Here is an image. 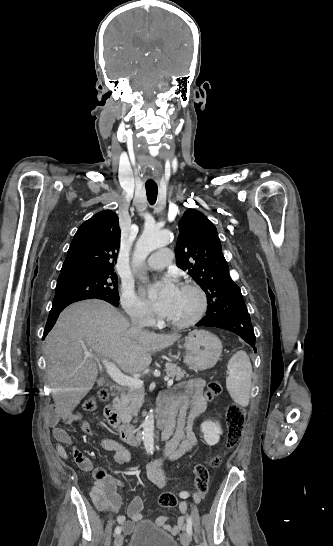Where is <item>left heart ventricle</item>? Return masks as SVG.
Masks as SVG:
<instances>
[{
    "instance_id": "obj_1",
    "label": "left heart ventricle",
    "mask_w": 333,
    "mask_h": 546,
    "mask_svg": "<svg viewBox=\"0 0 333 546\" xmlns=\"http://www.w3.org/2000/svg\"><path fill=\"white\" fill-rule=\"evenodd\" d=\"M197 303V297L192 291L179 288L168 318L174 321L188 319L195 312Z\"/></svg>"
}]
</instances>
